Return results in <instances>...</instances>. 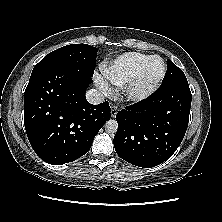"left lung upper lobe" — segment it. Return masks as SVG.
Segmentation results:
<instances>
[{
    "mask_svg": "<svg viewBox=\"0 0 222 222\" xmlns=\"http://www.w3.org/2000/svg\"><path fill=\"white\" fill-rule=\"evenodd\" d=\"M169 85H188L184 72L170 59L167 60V73L162 82V86Z\"/></svg>",
    "mask_w": 222,
    "mask_h": 222,
    "instance_id": "obj_1",
    "label": "left lung upper lobe"
}]
</instances>
